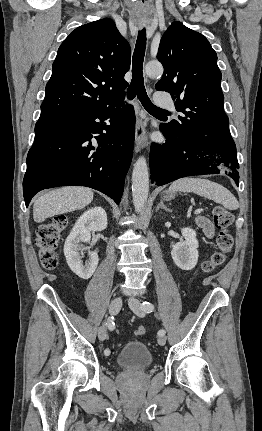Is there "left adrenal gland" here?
<instances>
[{"instance_id": "left-adrenal-gland-1", "label": "left adrenal gland", "mask_w": 262, "mask_h": 431, "mask_svg": "<svg viewBox=\"0 0 262 431\" xmlns=\"http://www.w3.org/2000/svg\"><path fill=\"white\" fill-rule=\"evenodd\" d=\"M160 209H164L165 211L171 212L167 206H165L163 200L160 201V203L157 205L156 212H158Z\"/></svg>"}]
</instances>
